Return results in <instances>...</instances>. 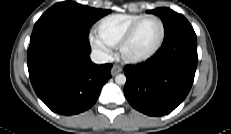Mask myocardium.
Instances as JSON below:
<instances>
[{
  "label": "myocardium",
  "mask_w": 231,
  "mask_h": 134,
  "mask_svg": "<svg viewBox=\"0 0 231 134\" xmlns=\"http://www.w3.org/2000/svg\"><path fill=\"white\" fill-rule=\"evenodd\" d=\"M147 19H155L159 22V24L161 26V36H160L158 44L155 46V48L151 52H149L146 55L139 56V57H129V56L125 55V53H124L125 47L132 40V38L135 35L139 26ZM165 34H166L165 24H164V21L159 16L154 15V14L144 15L143 17L138 19L127 30V32L124 34V36L120 40V42L118 44V52H119L121 59L128 64H140V63H144V62L152 59L159 52L161 47L163 46V43L165 40Z\"/></svg>",
  "instance_id": "f54148a6"
}]
</instances>
